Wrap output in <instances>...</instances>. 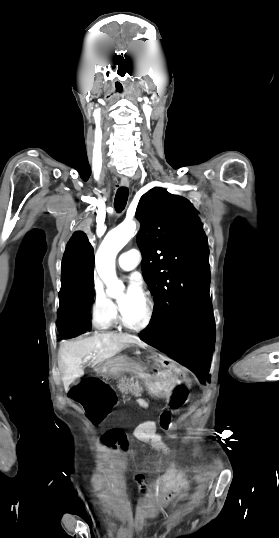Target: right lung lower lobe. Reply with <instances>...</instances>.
<instances>
[{
  "label": "right lung lower lobe",
  "mask_w": 279,
  "mask_h": 538,
  "mask_svg": "<svg viewBox=\"0 0 279 538\" xmlns=\"http://www.w3.org/2000/svg\"><path fill=\"white\" fill-rule=\"evenodd\" d=\"M60 306L56 322L59 337L68 339L90 330L93 298L94 251L83 232L69 240L62 260Z\"/></svg>",
  "instance_id": "obj_1"
}]
</instances>
